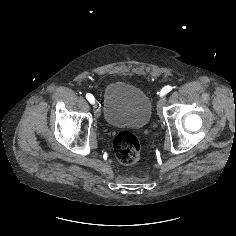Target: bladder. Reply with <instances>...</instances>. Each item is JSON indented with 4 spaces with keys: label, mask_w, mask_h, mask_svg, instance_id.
<instances>
[{
    "label": "bladder",
    "mask_w": 236,
    "mask_h": 236,
    "mask_svg": "<svg viewBox=\"0 0 236 236\" xmlns=\"http://www.w3.org/2000/svg\"><path fill=\"white\" fill-rule=\"evenodd\" d=\"M103 117L115 128H142L152 115L150 98L139 88L122 81L110 83L104 92Z\"/></svg>",
    "instance_id": "obj_1"
}]
</instances>
